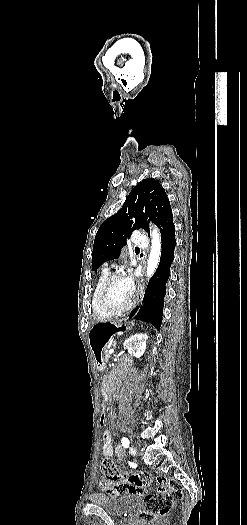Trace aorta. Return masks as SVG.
Segmentation results:
<instances>
[{
    "label": "aorta",
    "instance_id": "1",
    "mask_svg": "<svg viewBox=\"0 0 247 525\" xmlns=\"http://www.w3.org/2000/svg\"><path fill=\"white\" fill-rule=\"evenodd\" d=\"M151 250L147 262L146 275L150 278L156 271L160 256H161V236L158 229L154 226L151 227Z\"/></svg>",
    "mask_w": 247,
    "mask_h": 525
}]
</instances>
